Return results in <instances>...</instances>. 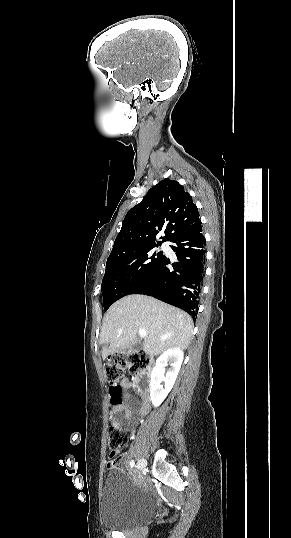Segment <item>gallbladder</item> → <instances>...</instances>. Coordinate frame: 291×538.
<instances>
[{"label":"gallbladder","mask_w":291,"mask_h":538,"mask_svg":"<svg viewBox=\"0 0 291 538\" xmlns=\"http://www.w3.org/2000/svg\"><path fill=\"white\" fill-rule=\"evenodd\" d=\"M134 350H140L142 348V344L141 343H136L134 346H133Z\"/></svg>","instance_id":"obj_1"}]
</instances>
